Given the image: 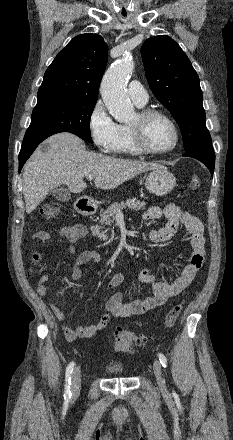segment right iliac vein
<instances>
[{"label":"right iliac vein","instance_id":"1","mask_svg":"<svg viewBox=\"0 0 233 440\" xmlns=\"http://www.w3.org/2000/svg\"><path fill=\"white\" fill-rule=\"evenodd\" d=\"M81 388V368L77 366L72 374V394L73 396H77L80 393Z\"/></svg>","mask_w":233,"mask_h":440}]
</instances>
